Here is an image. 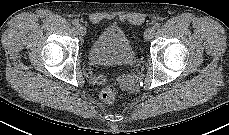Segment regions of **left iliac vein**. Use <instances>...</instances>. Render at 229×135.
Returning a JSON list of instances; mask_svg holds the SVG:
<instances>
[{"instance_id":"left-iliac-vein-1","label":"left iliac vein","mask_w":229,"mask_h":135,"mask_svg":"<svg viewBox=\"0 0 229 135\" xmlns=\"http://www.w3.org/2000/svg\"><path fill=\"white\" fill-rule=\"evenodd\" d=\"M155 34V29L153 27H149L144 32L145 40H151Z\"/></svg>"}]
</instances>
